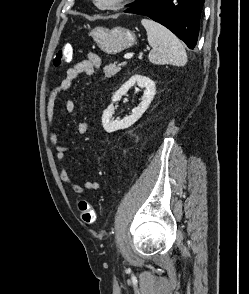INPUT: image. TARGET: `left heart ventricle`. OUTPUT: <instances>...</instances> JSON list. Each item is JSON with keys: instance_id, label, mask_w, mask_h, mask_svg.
<instances>
[{"instance_id": "b2bd125f", "label": "left heart ventricle", "mask_w": 249, "mask_h": 294, "mask_svg": "<svg viewBox=\"0 0 249 294\" xmlns=\"http://www.w3.org/2000/svg\"><path fill=\"white\" fill-rule=\"evenodd\" d=\"M101 4H111L116 2L117 0H98Z\"/></svg>"}]
</instances>
